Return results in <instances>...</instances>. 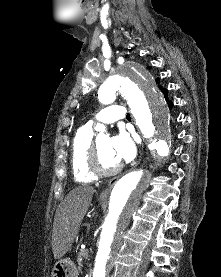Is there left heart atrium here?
<instances>
[{"mask_svg": "<svg viewBox=\"0 0 221 277\" xmlns=\"http://www.w3.org/2000/svg\"><path fill=\"white\" fill-rule=\"evenodd\" d=\"M111 147L116 159L119 162H128L132 160L136 153L132 140L124 133H121L111 139Z\"/></svg>", "mask_w": 221, "mask_h": 277, "instance_id": "left-heart-atrium-1", "label": "left heart atrium"}]
</instances>
